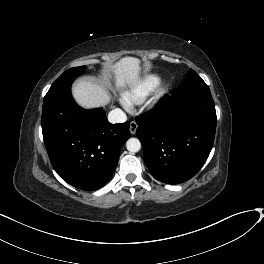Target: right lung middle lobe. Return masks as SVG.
I'll return each instance as SVG.
<instances>
[{
  "instance_id": "right-lung-middle-lobe-1",
  "label": "right lung middle lobe",
  "mask_w": 264,
  "mask_h": 264,
  "mask_svg": "<svg viewBox=\"0 0 264 264\" xmlns=\"http://www.w3.org/2000/svg\"><path fill=\"white\" fill-rule=\"evenodd\" d=\"M86 66L74 67L65 71L50 87L44 100L55 96L59 92L71 87L76 77L85 72Z\"/></svg>"
}]
</instances>
